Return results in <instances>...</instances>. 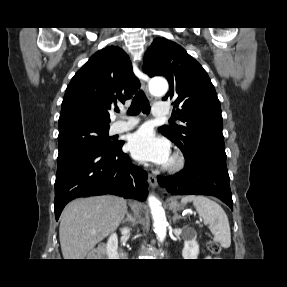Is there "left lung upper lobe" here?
Returning <instances> with one entry per match:
<instances>
[{"label": "left lung upper lobe", "instance_id": "obj_1", "mask_svg": "<svg viewBox=\"0 0 287 287\" xmlns=\"http://www.w3.org/2000/svg\"><path fill=\"white\" fill-rule=\"evenodd\" d=\"M143 71L164 76L170 89L175 119L184 125L163 126L159 131L174 142L189 163L212 159L226 164L220 101L203 67L177 43L156 38L144 55Z\"/></svg>", "mask_w": 287, "mask_h": 287}]
</instances>
